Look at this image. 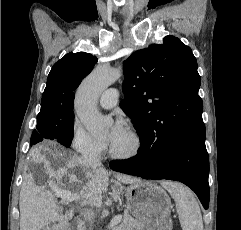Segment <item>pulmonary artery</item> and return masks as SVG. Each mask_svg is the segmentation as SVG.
<instances>
[{
	"instance_id": "e3ab8cb5",
	"label": "pulmonary artery",
	"mask_w": 241,
	"mask_h": 230,
	"mask_svg": "<svg viewBox=\"0 0 241 230\" xmlns=\"http://www.w3.org/2000/svg\"><path fill=\"white\" fill-rule=\"evenodd\" d=\"M118 90L115 88L106 89L100 96L99 103L102 108L111 109L118 101Z\"/></svg>"
}]
</instances>
